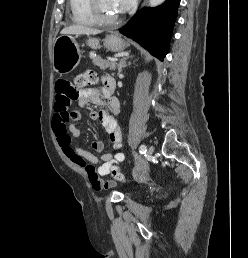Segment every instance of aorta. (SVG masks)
<instances>
[{"mask_svg":"<svg viewBox=\"0 0 248 258\" xmlns=\"http://www.w3.org/2000/svg\"><path fill=\"white\" fill-rule=\"evenodd\" d=\"M165 0H149V6L150 7H156L160 4H162Z\"/></svg>","mask_w":248,"mask_h":258,"instance_id":"762f6f07","label":"aorta"}]
</instances>
